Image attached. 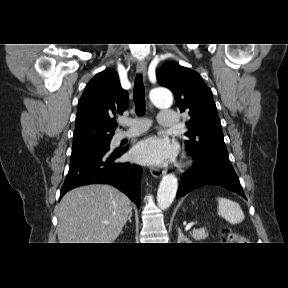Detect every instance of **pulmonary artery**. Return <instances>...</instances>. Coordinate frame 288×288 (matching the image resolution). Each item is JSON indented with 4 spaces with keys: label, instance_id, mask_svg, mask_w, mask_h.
Returning a JSON list of instances; mask_svg holds the SVG:
<instances>
[{
    "label": "pulmonary artery",
    "instance_id": "obj_1",
    "mask_svg": "<svg viewBox=\"0 0 288 288\" xmlns=\"http://www.w3.org/2000/svg\"><path fill=\"white\" fill-rule=\"evenodd\" d=\"M178 122V114L173 110L163 109L160 111L158 124L162 127H176ZM148 127V122L146 120H136L131 124V127L126 130L116 134L115 141L121 139L132 137L141 134Z\"/></svg>",
    "mask_w": 288,
    "mask_h": 288
}]
</instances>
